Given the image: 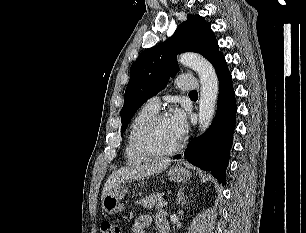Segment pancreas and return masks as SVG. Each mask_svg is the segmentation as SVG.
<instances>
[{"mask_svg":"<svg viewBox=\"0 0 306 233\" xmlns=\"http://www.w3.org/2000/svg\"><path fill=\"white\" fill-rule=\"evenodd\" d=\"M162 199H163V194L157 193L140 199L138 201V204H140L145 209H152L156 205V203L160 202Z\"/></svg>","mask_w":306,"mask_h":233,"instance_id":"cf45deb5","label":"pancreas"}]
</instances>
